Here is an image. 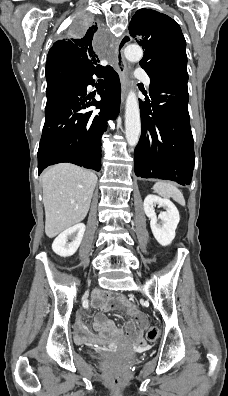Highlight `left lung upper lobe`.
I'll return each mask as SVG.
<instances>
[{"instance_id":"obj_1","label":"left lung upper lobe","mask_w":228,"mask_h":396,"mask_svg":"<svg viewBox=\"0 0 228 396\" xmlns=\"http://www.w3.org/2000/svg\"><path fill=\"white\" fill-rule=\"evenodd\" d=\"M129 32L144 49L140 65L149 77L165 76L187 85L186 41L175 20L143 8L132 17Z\"/></svg>"}]
</instances>
